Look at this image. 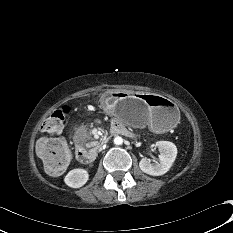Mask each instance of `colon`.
Returning a JSON list of instances; mask_svg holds the SVG:
<instances>
[{
	"instance_id": "colon-1",
	"label": "colon",
	"mask_w": 233,
	"mask_h": 233,
	"mask_svg": "<svg viewBox=\"0 0 233 233\" xmlns=\"http://www.w3.org/2000/svg\"><path fill=\"white\" fill-rule=\"evenodd\" d=\"M67 114L68 108L66 106L55 110L42 122L41 130L49 134L59 132ZM36 151L46 172L50 175L62 173L71 160L70 147L66 140L60 137L41 138L37 143Z\"/></svg>"
}]
</instances>
